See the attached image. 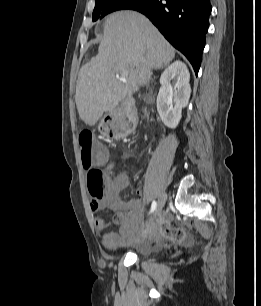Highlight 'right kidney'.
Masks as SVG:
<instances>
[{
	"mask_svg": "<svg viewBox=\"0 0 261 306\" xmlns=\"http://www.w3.org/2000/svg\"><path fill=\"white\" fill-rule=\"evenodd\" d=\"M187 66L181 61L169 65L161 75V88L157 96V110L163 123L176 128L182 117V109L188 105L191 87ZM171 81L174 85H171ZM174 99L175 105L172 104Z\"/></svg>",
	"mask_w": 261,
	"mask_h": 306,
	"instance_id": "obj_1",
	"label": "right kidney"
}]
</instances>
